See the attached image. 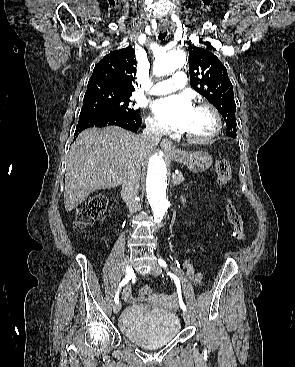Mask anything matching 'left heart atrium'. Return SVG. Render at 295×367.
Returning <instances> with one entry per match:
<instances>
[{
	"label": "left heart atrium",
	"instance_id": "left-heart-atrium-1",
	"mask_svg": "<svg viewBox=\"0 0 295 367\" xmlns=\"http://www.w3.org/2000/svg\"><path fill=\"white\" fill-rule=\"evenodd\" d=\"M157 118L168 128L185 131L194 107L187 94L171 95L155 101L152 105Z\"/></svg>",
	"mask_w": 295,
	"mask_h": 367
}]
</instances>
